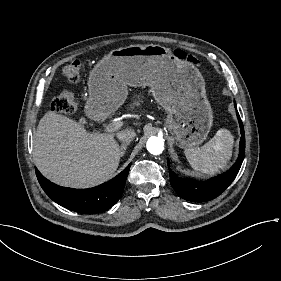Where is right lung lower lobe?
<instances>
[{"label": "right lung lower lobe", "mask_w": 281, "mask_h": 281, "mask_svg": "<svg viewBox=\"0 0 281 281\" xmlns=\"http://www.w3.org/2000/svg\"><path fill=\"white\" fill-rule=\"evenodd\" d=\"M130 165L109 182L84 191L59 188L42 177L38 170L36 175L43 190L57 204L78 213L94 214L108 210L119 200Z\"/></svg>", "instance_id": "98d812e1"}]
</instances>
